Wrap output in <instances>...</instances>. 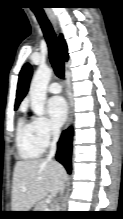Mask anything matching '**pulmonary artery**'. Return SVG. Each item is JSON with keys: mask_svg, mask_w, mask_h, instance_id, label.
<instances>
[{"mask_svg": "<svg viewBox=\"0 0 123 219\" xmlns=\"http://www.w3.org/2000/svg\"><path fill=\"white\" fill-rule=\"evenodd\" d=\"M61 90H62V87L58 82H53L48 86V92L52 94L60 93Z\"/></svg>", "mask_w": 123, "mask_h": 219, "instance_id": "obj_1", "label": "pulmonary artery"}]
</instances>
